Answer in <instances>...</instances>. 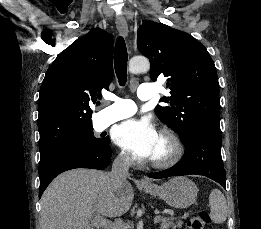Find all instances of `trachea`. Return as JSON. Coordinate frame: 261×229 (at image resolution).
<instances>
[{
	"instance_id": "trachea-1",
	"label": "trachea",
	"mask_w": 261,
	"mask_h": 229,
	"mask_svg": "<svg viewBox=\"0 0 261 229\" xmlns=\"http://www.w3.org/2000/svg\"><path fill=\"white\" fill-rule=\"evenodd\" d=\"M127 62L128 54L126 44L124 39L121 36H119L116 41V47L114 52V64L119 84L122 87L127 82ZM97 105H99V102Z\"/></svg>"
}]
</instances>
